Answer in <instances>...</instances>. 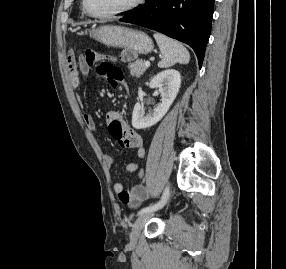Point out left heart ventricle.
<instances>
[{"label":"left heart ventricle","instance_id":"1","mask_svg":"<svg viewBox=\"0 0 286 269\" xmlns=\"http://www.w3.org/2000/svg\"><path fill=\"white\" fill-rule=\"evenodd\" d=\"M132 0H87L89 10L94 14H105L125 7Z\"/></svg>","mask_w":286,"mask_h":269}]
</instances>
